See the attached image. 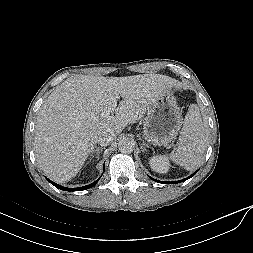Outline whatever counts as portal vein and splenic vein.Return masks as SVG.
<instances>
[{"label": "portal vein and splenic vein", "mask_w": 253, "mask_h": 253, "mask_svg": "<svg viewBox=\"0 0 253 253\" xmlns=\"http://www.w3.org/2000/svg\"><path fill=\"white\" fill-rule=\"evenodd\" d=\"M111 114V111H106L104 113H102V115H106V116H109Z\"/></svg>", "instance_id": "1"}]
</instances>
